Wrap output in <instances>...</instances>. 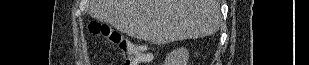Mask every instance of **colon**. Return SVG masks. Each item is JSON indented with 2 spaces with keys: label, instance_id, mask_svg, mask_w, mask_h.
I'll return each instance as SVG.
<instances>
[{
  "label": "colon",
  "instance_id": "colon-1",
  "mask_svg": "<svg viewBox=\"0 0 309 65\" xmlns=\"http://www.w3.org/2000/svg\"><path fill=\"white\" fill-rule=\"evenodd\" d=\"M90 30L94 34H104V29L101 24L94 22L90 26ZM110 37L113 44L116 46L120 55L122 65H138L146 61L147 53H145L142 45L135 41H127L122 39L120 35L104 34Z\"/></svg>",
  "mask_w": 309,
  "mask_h": 65
}]
</instances>
